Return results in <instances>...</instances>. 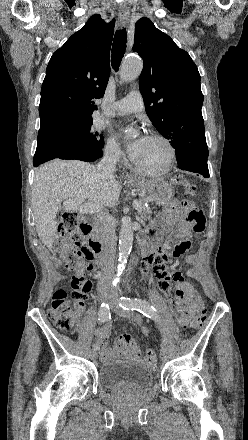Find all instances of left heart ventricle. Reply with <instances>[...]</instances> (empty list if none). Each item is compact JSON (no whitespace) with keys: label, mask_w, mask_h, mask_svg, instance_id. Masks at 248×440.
I'll return each instance as SVG.
<instances>
[{"label":"left heart ventricle","mask_w":248,"mask_h":440,"mask_svg":"<svg viewBox=\"0 0 248 440\" xmlns=\"http://www.w3.org/2000/svg\"><path fill=\"white\" fill-rule=\"evenodd\" d=\"M167 158V150L163 143L148 137L145 147L134 162L144 168L156 169L164 165Z\"/></svg>","instance_id":"1"}]
</instances>
